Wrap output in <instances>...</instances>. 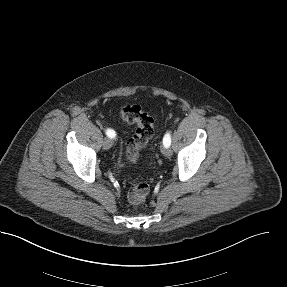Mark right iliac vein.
I'll list each match as a JSON object with an SVG mask.
<instances>
[{
  "mask_svg": "<svg viewBox=\"0 0 287 287\" xmlns=\"http://www.w3.org/2000/svg\"><path fill=\"white\" fill-rule=\"evenodd\" d=\"M112 144H113V142H112V140L111 139H109V138H105L104 140H103V148L104 149H110L111 147H112Z\"/></svg>",
  "mask_w": 287,
  "mask_h": 287,
  "instance_id": "obj_1",
  "label": "right iliac vein"
}]
</instances>
